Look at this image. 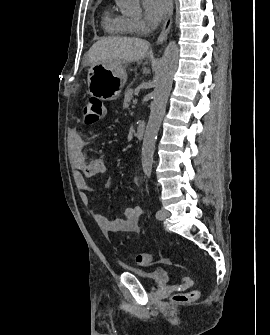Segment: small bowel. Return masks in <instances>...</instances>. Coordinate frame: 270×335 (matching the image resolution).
Instances as JSON below:
<instances>
[{"label":"small bowel","instance_id":"c3829d8e","mask_svg":"<svg viewBox=\"0 0 270 335\" xmlns=\"http://www.w3.org/2000/svg\"><path fill=\"white\" fill-rule=\"evenodd\" d=\"M85 142L79 132L72 129L68 132V158L72 168L73 179L80 191L79 196L83 204H89L86 193L90 189L88 179L90 177L105 174L107 166L101 159L87 160L84 154ZM106 187L111 186V180L107 179ZM140 206H131L125 209L124 217L108 219L99 213H94L98 226L106 233L136 232L139 230L140 218L142 216Z\"/></svg>","mask_w":270,"mask_h":335}]
</instances>
